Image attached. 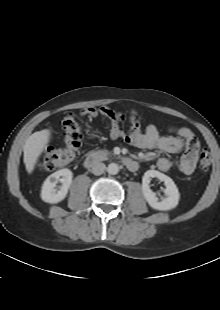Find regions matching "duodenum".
Returning a JSON list of instances; mask_svg holds the SVG:
<instances>
[{
	"label": "duodenum",
	"instance_id": "duodenum-1",
	"mask_svg": "<svg viewBox=\"0 0 220 310\" xmlns=\"http://www.w3.org/2000/svg\"><path fill=\"white\" fill-rule=\"evenodd\" d=\"M109 159H110V155H108L107 152H104V151L94 152L84 157L83 165L86 168H92L96 166L97 164H99L100 162L109 160ZM122 162L127 168V170L130 172H134L138 169V163L129 157H124L122 159Z\"/></svg>",
	"mask_w": 220,
	"mask_h": 310
}]
</instances>
